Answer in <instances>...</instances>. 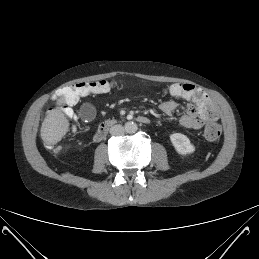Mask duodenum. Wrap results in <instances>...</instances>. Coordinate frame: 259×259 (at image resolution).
<instances>
[{
	"label": "duodenum",
	"mask_w": 259,
	"mask_h": 259,
	"mask_svg": "<svg viewBox=\"0 0 259 259\" xmlns=\"http://www.w3.org/2000/svg\"><path fill=\"white\" fill-rule=\"evenodd\" d=\"M137 121L143 124H148L150 122L149 118L146 116H138ZM114 124L113 121H106L102 123L99 128L97 129L94 140L95 141H101L107 134L109 128Z\"/></svg>",
	"instance_id": "duodenum-1"
}]
</instances>
